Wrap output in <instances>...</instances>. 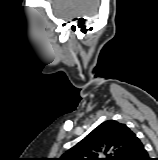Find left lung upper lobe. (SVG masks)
I'll use <instances>...</instances> for the list:
<instances>
[{
    "mask_svg": "<svg viewBox=\"0 0 158 160\" xmlns=\"http://www.w3.org/2000/svg\"><path fill=\"white\" fill-rule=\"evenodd\" d=\"M136 135L125 124L108 120L59 160H126Z\"/></svg>",
    "mask_w": 158,
    "mask_h": 160,
    "instance_id": "1",
    "label": "left lung upper lobe"
}]
</instances>
